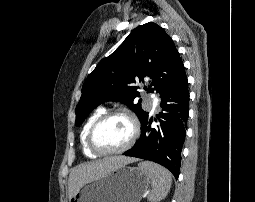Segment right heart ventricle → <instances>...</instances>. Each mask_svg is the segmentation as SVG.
Listing matches in <instances>:
<instances>
[{
  "label": "right heart ventricle",
  "instance_id": "1",
  "mask_svg": "<svg viewBox=\"0 0 255 202\" xmlns=\"http://www.w3.org/2000/svg\"><path fill=\"white\" fill-rule=\"evenodd\" d=\"M103 113V109H98L96 110L86 121V123L84 124L81 134H80V141H81V146H82V150L84 152V154L90 158H95L97 155L95 153H93L88 145H87V134L88 131L91 127V125L93 124V122Z\"/></svg>",
  "mask_w": 255,
  "mask_h": 202
}]
</instances>
